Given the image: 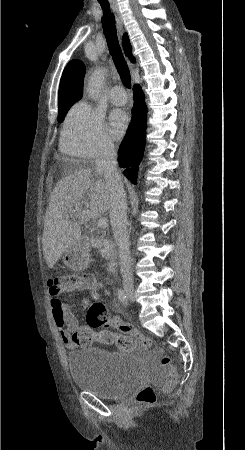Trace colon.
<instances>
[{"label": "colon", "mask_w": 245, "mask_h": 450, "mask_svg": "<svg viewBox=\"0 0 245 450\" xmlns=\"http://www.w3.org/2000/svg\"><path fill=\"white\" fill-rule=\"evenodd\" d=\"M54 284L60 290H70L74 287H89L90 279L81 273H70L60 276L55 280ZM87 323L90 328H80L76 331L75 337L80 344H90L94 340H98L104 344H114L121 350H127L134 345L142 348L150 346V341L147 337L137 332L131 325L111 317L104 303L100 301L91 302L87 308ZM111 325H117L119 330L124 334L114 333L108 328ZM105 327L100 333H96L92 328ZM130 334V335H128ZM160 364L163 367H171V357L164 355ZM176 383V373L173 369L167 372L164 390L170 391ZM139 404H152L156 401V395L152 387H141L135 397Z\"/></svg>", "instance_id": "obj_1"}]
</instances>
